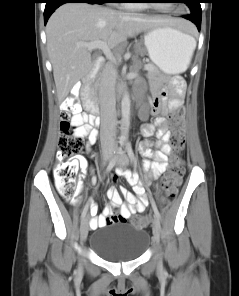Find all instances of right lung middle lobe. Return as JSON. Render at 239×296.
Listing matches in <instances>:
<instances>
[{"instance_id":"obj_1","label":"right lung middle lobe","mask_w":239,"mask_h":296,"mask_svg":"<svg viewBox=\"0 0 239 296\" xmlns=\"http://www.w3.org/2000/svg\"><path fill=\"white\" fill-rule=\"evenodd\" d=\"M98 1L100 4L108 2V0H95Z\"/></svg>"}]
</instances>
